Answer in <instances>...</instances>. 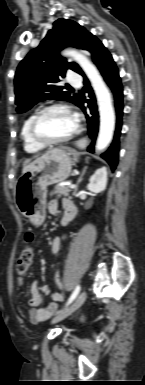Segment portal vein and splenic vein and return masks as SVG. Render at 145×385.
I'll list each match as a JSON object with an SVG mask.
<instances>
[{"instance_id":"18ae733b","label":"portal vein and splenic vein","mask_w":145,"mask_h":385,"mask_svg":"<svg viewBox=\"0 0 145 385\" xmlns=\"http://www.w3.org/2000/svg\"><path fill=\"white\" fill-rule=\"evenodd\" d=\"M75 187H76L75 184H71V185H70V188H71V189H74Z\"/></svg>"}]
</instances>
